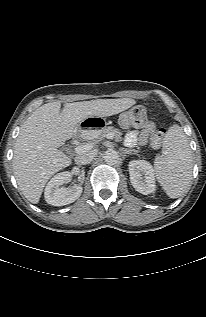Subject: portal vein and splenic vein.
I'll use <instances>...</instances> for the list:
<instances>
[{
    "label": "portal vein and splenic vein",
    "instance_id": "obj_1",
    "mask_svg": "<svg viewBox=\"0 0 206 317\" xmlns=\"http://www.w3.org/2000/svg\"><path fill=\"white\" fill-rule=\"evenodd\" d=\"M106 138H107V139H113L114 136H113L112 134H108V135L106 136ZM92 147H93L92 144L86 143V144H82V145L77 146V147L75 148V151H76V153L81 154V153H83V152H86V151L90 150Z\"/></svg>",
    "mask_w": 206,
    "mask_h": 317
}]
</instances>
